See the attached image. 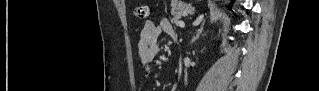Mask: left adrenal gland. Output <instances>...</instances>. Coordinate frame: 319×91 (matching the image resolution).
Listing matches in <instances>:
<instances>
[{
  "mask_svg": "<svg viewBox=\"0 0 319 91\" xmlns=\"http://www.w3.org/2000/svg\"><path fill=\"white\" fill-rule=\"evenodd\" d=\"M203 26H204V23L201 25L200 29L197 30L196 35L193 36L191 42H194L195 40H197V39L199 38V36H200V35L202 34V32H203Z\"/></svg>",
  "mask_w": 319,
  "mask_h": 91,
  "instance_id": "a2214340",
  "label": "left adrenal gland"
}]
</instances>
